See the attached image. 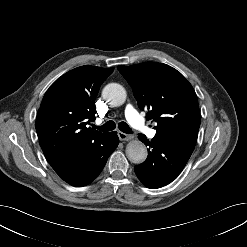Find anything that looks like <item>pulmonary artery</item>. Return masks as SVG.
<instances>
[{
	"instance_id": "1",
	"label": "pulmonary artery",
	"mask_w": 247,
	"mask_h": 247,
	"mask_svg": "<svg viewBox=\"0 0 247 247\" xmlns=\"http://www.w3.org/2000/svg\"><path fill=\"white\" fill-rule=\"evenodd\" d=\"M125 116L133 128L146 134L149 138H153L156 135V130L149 128L145 124L144 119L140 116L138 111L131 104H128L126 106Z\"/></svg>"
}]
</instances>
